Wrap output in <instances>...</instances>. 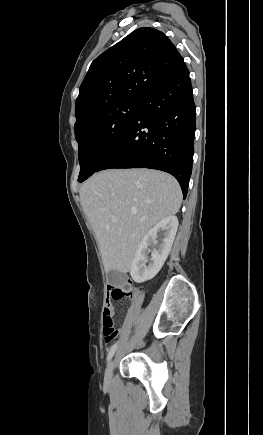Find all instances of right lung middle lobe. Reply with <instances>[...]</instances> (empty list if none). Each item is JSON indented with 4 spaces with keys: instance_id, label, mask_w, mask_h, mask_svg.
I'll list each match as a JSON object with an SVG mask.
<instances>
[{
    "instance_id": "right-lung-middle-lobe-1",
    "label": "right lung middle lobe",
    "mask_w": 263,
    "mask_h": 435,
    "mask_svg": "<svg viewBox=\"0 0 263 435\" xmlns=\"http://www.w3.org/2000/svg\"><path fill=\"white\" fill-rule=\"evenodd\" d=\"M142 101L125 99L107 104L74 128L79 144V182L86 180L102 165L129 128Z\"/></svg>"
}]
</instances>
